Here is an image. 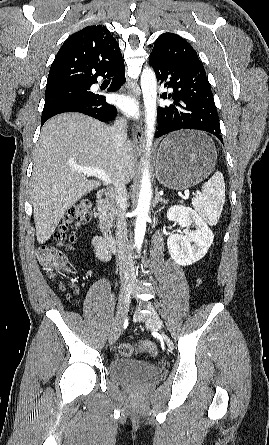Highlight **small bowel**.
<instances>
[{
  "label": "small bowel",
  "mask_w": 269,
  "mask_h": 445,
  "mask_svg": "<svg viewBox=\"0 0 269 445\" xmlns=\"http://www.w3.org/2000/svg\"><path fill=\"white\" fill-rule=\"evenodd\" d=\"M93 245L96 256L100 261H108L110 259V251L101 237H95L93 239Z\"/></svg>",
  "instance_id": "c3829d8e"
}]
</instances>
